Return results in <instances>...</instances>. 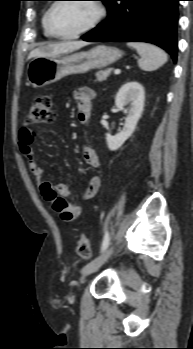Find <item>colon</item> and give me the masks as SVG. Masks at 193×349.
Returning a JSON list of instances; mask_svg holds the SVG:
<instances>
[{"label":"colon","mask_w":193,"mask_h":349,"mask_svg":"<svg viewBox=\"0 0 193 349\" xmlns=\"http://www.w3.org/2000/svg\"><path fill=\"white\" fill-rule=\"evenodd\" d=\"M55 116L56 114L51 97L49 95H40L33 101L31 109L26 116V120L31 124L51 123L54 121ZM76 252L78 256L84 260H89L92 257L90 242L83 234L78 236Z\"/></svg>","instance_id":"obj_1"}]
</instances>
